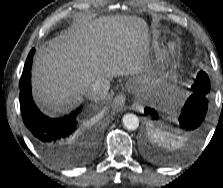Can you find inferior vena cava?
I'll return each instance as SVG.
<instances>
[{
  "instance_id": "inferior-vena-cava-1",
  "label": "inferior vena cava",
  "mask_w": 223,
  "mask_h": 188,
  "mask_svg": "<svg viewBox=\"0 0 223 188\" xmlns=\"http://www.w3.org/2000/svg\"><path fill=\"white\" fill-rule=\"evenodd\" d=\"M110 89V82L106 78H98L92 82L86 89V97L92 101L104 100Z\"/></svg>"
}]
</instances>
